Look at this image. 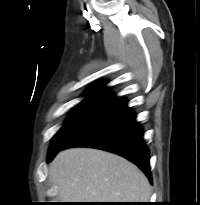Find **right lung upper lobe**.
I'll return each mask as SVG.
<instances>
[{"label": "right lung upper lobe", "instance_id": "1", "mask_svg": "<svg viewBox=\"0 0 200 205\" xmlns=\"http://www.w3.org/2000/svg\"><path fill=\"white\" fill-rule=\"evenodd\" d=\"M105 84L106 82H100L91 86L87 91L89 96L84 101L116 102L118 98L108 92V89L104 87Z\"/></svg>", "mask_w": 200, "mask_h": 205}]
</instances>
